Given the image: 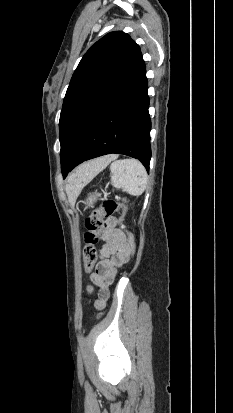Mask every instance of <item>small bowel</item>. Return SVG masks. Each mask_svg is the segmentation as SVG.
Here are the masks:
<instances>
[{"mask_svg":"<svg viewBox=\"0 0 233 413\" xmlns=\"http://www.w3.org/2000/svg\"><path fill=\"white\" fill-rule=\"evenodd\" d=\"M103 241L104 244L100 250V260L92 276L94 284L100 288V299L96 303L98 308H102L105 300L108 298V287L114 281L117 268L130 259L127 251V238L117 228L115 218L106 220Z\"/></svg>","mask_w":233,"mask_h":413,"instance_id":"1","label":"small bowel"}]
</instances>
